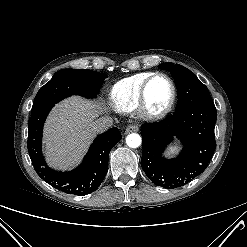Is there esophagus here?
I'll return each mask as SVG.
<instances>
[{
    "mask_svg": "<svg viewBox=\"0 0 247 247\" xmlns=\"http://www.w3.org/2000/svg\"><path fill=\"white\" fill-rule=\"evenodd\" d=\"M139 130V127L134 124H130L126 127L125 132L130 133V132H137Z\"/></svg>",
    "mask_w": 247,
    "mask_h": 247,
    "instance_id": "34e87169",
    "label": "esophagus"
}]
</instances>
